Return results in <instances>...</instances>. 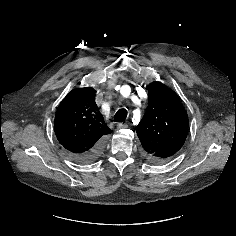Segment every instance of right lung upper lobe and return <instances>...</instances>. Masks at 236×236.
<instances>
[{
  "instance_id": "1",
  "label": "right lung upper lobe",
  "mask_w": 236,
  "mask_h": 236,
  "mask_svg": "<svg viewBox=\"0 0 236 236\" xmlns=\"http://www.w3.org/2000/svg\"><path fill=\"white\" fill-rule=\"evenodd\" d=\"M54 130L60 144L74 154L87 152L111 133L96 105L93 88L67 94L56 112Z\"/></svg>"
}]
</instances>
